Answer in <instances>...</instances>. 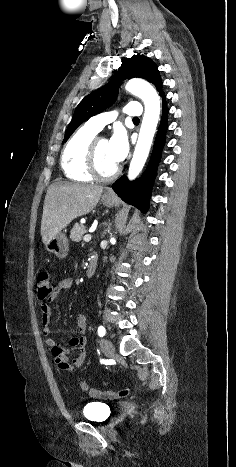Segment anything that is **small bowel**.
Returning a JSON list of instances; mask_svg holds the SVG:
<instances>
[{"instance_id":"small-bowel-1","label":"small bowel","mask_w":236,"mask_h":467,"mask_svg":"<svg viewBox=\"0 0 236 467\" xmlns=\"http://www.w3.org/2000/svg\"><path fill=\"white\" fill-rule=\"evenodd\" d=\"M73 285L71 278L61 280L57 286L54 287L52 295L47 302L41 304V322L42 331L47 336L46 344L50 348L52 356L54 357L57 366L64 371H76L81 368L87 358L86 344L87 339L85 336L72 337L68 341V347H64L56 338L51 337V307L50 302H54L61 293L68 291ZM76 325L81 333L87 330V318L84 314L80 313L76 317ZM74 355L71 357V353Z\"/></svg>"}]
</instances>
